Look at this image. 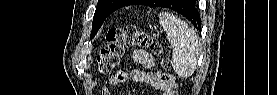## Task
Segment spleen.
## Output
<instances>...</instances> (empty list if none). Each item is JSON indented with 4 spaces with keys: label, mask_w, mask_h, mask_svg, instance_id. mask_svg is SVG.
<instances>
[{
    "label": "spleen",
    "mask_w": 277,
    "mask_h": 95,
    "mask_svg": "<svg viewBox=\"0 0 277 95\" xmlns=\"http://www.w3.org/2000/svg\"><path fill=\"white\" fill-rule=\"evenodd\" d=\"M158 17L173 47L172 67L174 71L182 78L192 76L199 55V45L194 30L189 28L183 20L168 12H162Z\"/></svg>",
    "instance_id": "3e777b00"
}]
</instances>
